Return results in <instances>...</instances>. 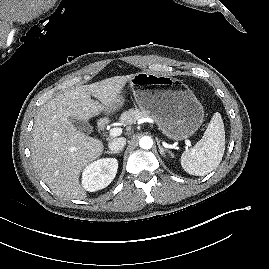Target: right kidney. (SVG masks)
Listing matches in <instances>:
<instances>
[{
    "label": "right kidney",
    "mask_w": 269,
    "mask_h": 269,
    "mask_svg": "<svg viewBox=\"0 0 269 269\" xmlns=\"http://www.w3.org/2000/svg\"><path fill=\"white\" fill-rule=\"evenodd\" d=\"M118 161L115 158H103L85 167L82 173L83 188L94 192L107 187L115 178Z\"/></svg>",
    "instance_id": "ca27d5eb"
}]
</instances>
